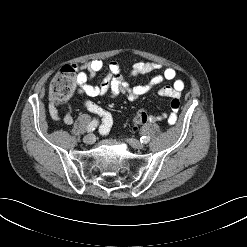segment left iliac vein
<instances>
[{
    "mask_svg": "<svg viewBox=\"0 0 247 247\" xmlns=\"http://www.w3.org/2000/svg\"><path fill=\"white\" fill-rule=\"evenodd\" d=\"M126 141L133 147V148H136V149H142L144 147V145L139 142L138 140L136 139H132V138H128L126 139Z\"/></svg>",
    "mask_w": 247,
    "mask_h": 247,
    "instance_id": "obj_1",
    "label": "left iliac vein"
}]
</instances>
